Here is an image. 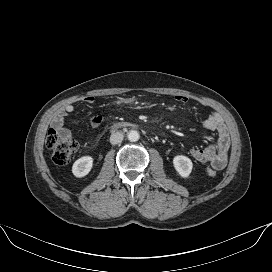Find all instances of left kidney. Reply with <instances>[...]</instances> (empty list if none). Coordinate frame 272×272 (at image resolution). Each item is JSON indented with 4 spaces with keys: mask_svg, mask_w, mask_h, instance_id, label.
<instances>
[{
    "mask_svg": "<svg viewBox=\"0 0 272 272\" xmlns=\"http://www.w3.org/2000/svg\"><path fill=\"white\" fill-rule=\"evenodd\" d=\"M173 165L177 173L183 178H187L193 168L192 161L184 155L175 156L173 158Z\"/></svg>",
    "mask_w": 272,
    "mask_h": 272,
    "instance_id": "5707ae66",
    "label": "left kidney"
}]
</instances>
